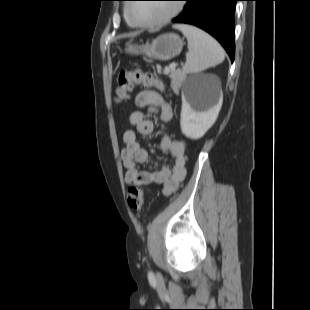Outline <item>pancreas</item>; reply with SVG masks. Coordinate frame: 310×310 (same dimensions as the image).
Instances as JSON below:
<instances>
[{
	"label": "pancreas",
	"instance_id": "pancreas-1",
	"mask_svg": "<svg viewBox=\"0 0 310 310\" xmlns=\"http://www.w3.org/2000/svg\"><path fill=\"white\" fill-rule=\"evenodd\" d=\"M169 77L171 79V88L176 94H178L179 89L182 85V82L185 78V75L179 71L174 70V71H171Z\"/></svg>",
	"mask_w": 310,
	"mask_h": 310
}]
</instances>
